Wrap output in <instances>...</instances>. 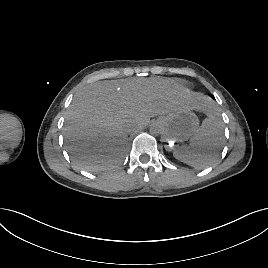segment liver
Masks as SVG:
<instances>
[{"mask_svg": "<svg viewBox=\"0 0 268 268\" xmlns=\"http://www.w3.org/2000/svg\"><path fill=\"white\" fill-rule=\"evenodd\" d=\"M208 105L204 95L162 78L99 81L74 96L63 135L73 162L99 172L121 162L131 128L182 108L205 112Z\"/></svg>", "mask_w": 268, "mask_h": 268, "instance_id": "6515ba94", "label": "liver"}]
</instances>
